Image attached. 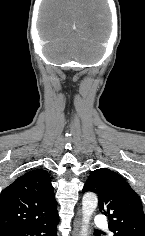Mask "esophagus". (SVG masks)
<instances>
[{
  "label": "esophagus",
  "mask_w": 145,
  "mask_h": 236,
  "mask_svg": "<svg viewBox=\"0 0 145 236\" xmlns=\"http://www.w3.org/2000/svg\"><path fill=\"white\" fill-rule=\"evenodd\" d=\"M80 226H81V213L80 211H78L77 216L74 220V228L72 233L73 236H79Z\"/></svg>",
  "instance_id": "obj_1"
}]
</instances>
